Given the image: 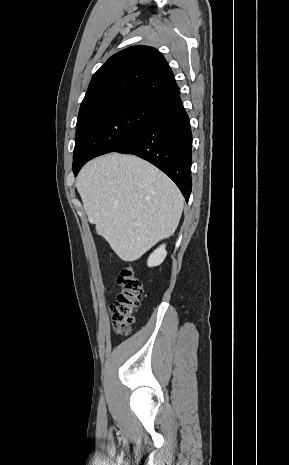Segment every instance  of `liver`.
I'll return each mask as SVG.
<instances>
[{
	"label": "liver",
	"instance_id": "obj_1",
	"mask_svg": "<svg viewBox=\"0 0 289 465\" xmlns=\"http://www.w3.org/2000/svg\"><path fill=\"white\" fill-rule=\"evenodd\" d=\"M76 188L96 233L127 262L171 236L183 210L177 186L134 155L112 153L91 160L81 169Z\"/></svg>",
	"mask_w": 289,
	"mask_h": 465
}]
</instances>
